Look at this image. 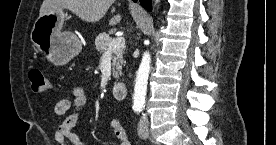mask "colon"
Returning a JSON list of instances; mask_svg holds the SVG:
<instances>
[{
  "mask_svg": "<svg viewBox=\"0 0 276 145\" xmlns=\"http://www.w3.org/2000/svg\"><path fill=\"white\" fill-rule=\"evenodd\" d=\"M29 79L32 91L36 94H43L50 90L51 85L45 73L39 68H32L29 71Z\"/></svg>",
  "mask_w": 276,
  "mask_h": 145,
  "instance_id": "5ec220e1",
  "label": "colon"
}]
</instances>
